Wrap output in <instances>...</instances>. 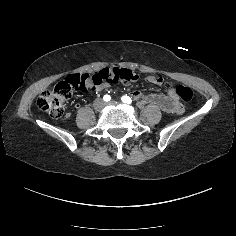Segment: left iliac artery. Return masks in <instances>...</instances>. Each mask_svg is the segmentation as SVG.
<instances>
[{
	"label": "left iliac artery",
	"instance_id": "left-iliac-artery-1",
	"mask_svg": "<svg viewBox=\"0 0 236 236\" xmlns=\"http://www.w3.org/2000/svg\"><path fill=\"white\" fill-rule=\"evenodd\" d=\"M121 100L124 102V103H127V104H131L132 103V100L129 96L127 95H124L121 97Z\"/></svg>",
	"mask_w": 236,
	"mask_h": 236
}]
</instances>
